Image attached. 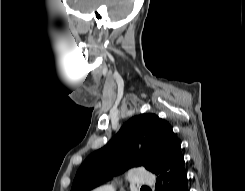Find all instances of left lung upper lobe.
<instances>
[{
    "label": "left lung upper lobe",
    "mask_w": 245,
    "mask_h": 191,
    "mask_svg": "<svg viewBox=\"0 0 245 191\" xmlns=\"http://www.w3.org/2000/svg\"><path fill=\"white\" fill-rule=\"evenodd\" d=\"M141 144L142 150L137 147ZM180 148L171 126L157 115L129 119L103 148L90 154L75 176L71 191H86L132 167L156 173Z\"/></svg>",
    "instance_id": "1"
}]
</instances>
